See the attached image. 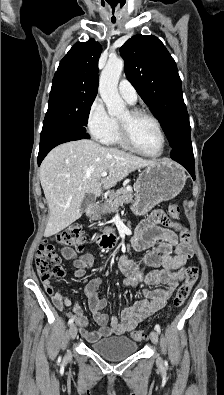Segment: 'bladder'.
<instances>
[{
	"mask_svg": "<svg viewBox=\"0 0 224 395\" xmlns=\"http://www.w3.org/2000/svg\"><path fill=\"white\" fill-rule=\"evenodd\" d=\"M90 349L108 361H120L138 350V345L128 337H108L90 345Z\"/></svg>",
	"mask_w": 224,
	"mask_h": 395,
	"instance_id": "bladder-1",
	"label": "bladder"
}]
</instances>
